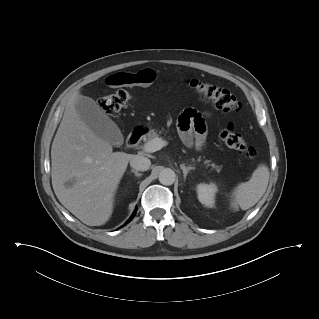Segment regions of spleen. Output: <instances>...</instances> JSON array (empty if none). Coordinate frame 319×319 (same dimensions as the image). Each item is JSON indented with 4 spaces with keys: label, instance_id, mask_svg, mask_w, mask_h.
Wrapping results in <instances>:
<instances>
[{
    "label": "spleen",
    "instance_id": "obj_1",
    "mask_svg": "<svg viewBox=\"0 0 319 319\" xmlns=\"http://www.w3.org/2000/svg\"><path fill=\"white\" fill-rule=\"evenodd\" d=\"M269 182V169L260 164L249 181L239 184L233 191L232 207L247 210L253 207L264 195Z\"/></svg>",
    "mask_w": 319,
    "mask_h": 319
}]
</instances>
